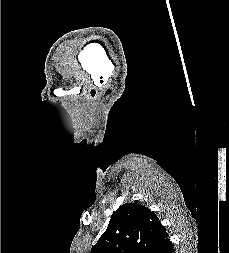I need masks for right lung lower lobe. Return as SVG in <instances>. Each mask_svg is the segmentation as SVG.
I'll list each match as a JSON object with an SVG mask.
<instances>
[{
  "mask_svg": "<svg viewBox=\"0 0 229 253\" xmlns=\"http://www.w3.org/2000/svg\"><path fill=\"white\" fill-rule=\"evenodd\" d=\"M159 253H174V247L172 242L168 243Z\"/></svg>",
  "mask_w": 229,
  "mask_h": 253,
  "instance_id": "98d812e1",
  "label": "right lung lower lobe"
}]
</instances>
